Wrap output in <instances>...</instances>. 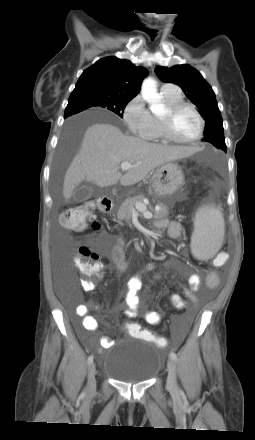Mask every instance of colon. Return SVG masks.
Returning a JSON list of instances; mask_svg holds the SVG:
<instances>
[{
  "mask_svg": "<svg viewBox=\"0 0 255 440\" xmlns=\"http://www.w3.org/2000/svg\"><path fill=\"white\" fill-rule=\"evenodd\" d=\"M94 205L92 203H84L79 206L65 210L60 216V223L62 226L71 230H83L89 225L92 228H98V224L94 221ZM98 255L87 247H81L79 250V258L77 267L84 275L83 284L91 287L94 283V278L101 273V267L95 263ZM217 274V273H216ZM218 275V274H217ZM219 278V277H218ZM174 311H183L185 306H188V298H173L171 300ZM130 335L151 342L154 346H165L167 339L164 334H155L136 322H127L125 325Z\"/></svg>",
  "mask_w": 255,
  "mask_h": 440,
  "instance_id": "5ec220e1",
  "label": "colon"
}]
</instances>
